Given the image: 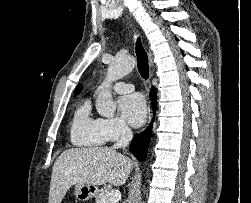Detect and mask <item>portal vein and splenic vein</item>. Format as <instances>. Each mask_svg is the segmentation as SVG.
Instances as JSON below:
<instances>
[{
    "mask_svg": "<svg viewBox=\"0 0 251 203\" xmlns=\"http://www.w3.org/2000/svg\"><path fill=\"white\" fill-rule=\"evenodd\" d=\"M108 197L112 201V203H117L121 198V193L119 190H112L108 193Z\"/></svg>",
    "mask_w": 251,
    "mask_h": 203,
    "instance_id": "18ae733b",
    "label": "portal vein and splenic vein"
}]
</instances>
